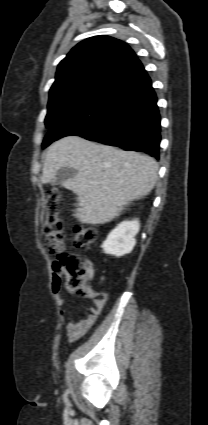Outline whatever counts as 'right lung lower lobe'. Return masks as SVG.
<instances>
[{"label":"right lung lower lobe","mask_w":208,"mask_h":425,"mask_svg":"<svg viewBox=\"0 0 208 425\" xmlns=\"http://www.w3.org/2000/svg\"><path fill=\"white\" fill-rule=\"evenodd\" d=\"M81 136L159 159L160 115L142 63L127 69L85 107L58 118L46 138Z\"/></svg>","instance_id":"right-lung-lower-lobe-1"}]
</instances>
